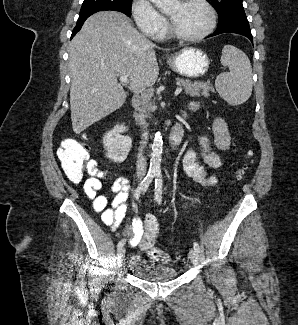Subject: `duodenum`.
<instances>
[{
  "mask_svg": "<svg viewBox=\"0 0 298 325\" xmlns=\"http://www.w3.org/2000/svg\"><path fill=\"white\" fill-rule=\"evenodd\" d=\"M132 104L134 107H137L140 104V100L138 98H134L132 100ZM188 109H193V107H188ZM183 115H185V111H183ZM182 136H183V124L182 122H179L175 124L171 130L170 142L173 145H178L181 141Z\"/></svg>",
  "mask_w": 298,
  "mask_h": 325,
  "instance_id": "duodenum-1",
  "label": "duodenum"
}]
</instances>
